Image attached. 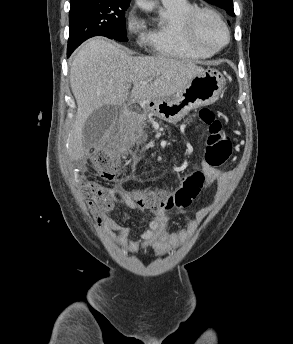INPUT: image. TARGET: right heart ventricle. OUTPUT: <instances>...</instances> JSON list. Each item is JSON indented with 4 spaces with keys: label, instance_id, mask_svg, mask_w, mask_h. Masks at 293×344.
<instances>
[{
    "label": "right heart ventricle",
    "instance_id": "1",
    "mask_svg": "<svg viewBox=\"0 0 293 344\" xmlns=\"http://www.w3.org/2000/svg\"><path fill=\"white\" fill-rule=\"evenodd\" d=\"M197 6L190 0L162 2L160 21L151 26L143 36V44L154 54L182 60H202L213 54L193 47L183 32V22Z\"/></svg>",
    "mask_w": 293,
    "mask_h": 344
}]
</instances>
